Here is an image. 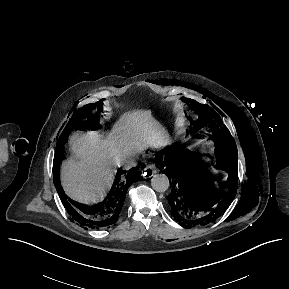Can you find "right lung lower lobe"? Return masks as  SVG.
Segmentation results:
<instances>
[{
	"instance_id": "1",
	"label": "right lung lower lobe",
	"mask_w": 289,
	"mask_h": 289,
	"mask_svg": "<svg viewBox=\"0 0 289 289\" xmlns=\"http://www.w3.org/2000/svg\"><path fill=\"white\" fill-rule=\"evenodd\" d=\"M66 142H64L63 138H59L57 141L53 164V179L57 192L69 215L72 216L76 222L89 228L101 229L116 225L129 186L142 178L140 176V166L132 168L127 172L119 169L113 186L103 201L94 205L74 202L63 192L59 182V165L63 159V146Z\"/></svg>"
}]
</instances>
